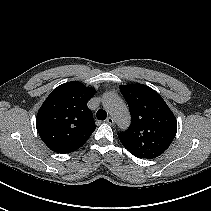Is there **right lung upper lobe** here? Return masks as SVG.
Here are the masks:
<instances>
[{
	"label": "right lung upper lobe",
	"mask_w": 211,
	"mask_h": 211,
	"mask_svg": "<svg viewBox=\"0 0 211 211\" xmlns=\"http://www.w3.org/2000/svg\"><path fill=\"white\" fill-rule=\"evenodd\" d=\"M95 89L71 81L55 88L40 107L36 128L52 151L71 153L79 149L96 129L87 101Z\"/></svg>",
	"instance_id": "1"
}]
</instances>
